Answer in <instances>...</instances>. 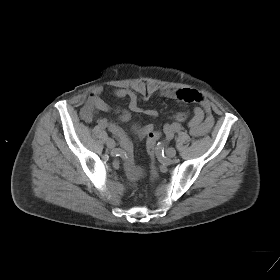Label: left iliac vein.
<instances>
[{
	"instance_id": "1",
	"label": "left iliac vein",
	"mask_w": 280,
	"mask_h": 280,
	"mask_svg": "<svg viewBox=\"0 0 280 280\" xmlns=\"http://www.w3.org/2000/svg\"><path fill=\"white\" fill-rule=\"evenodd\" d=\"M165 154L168 158H173L176 155V150L172 147L167 148Z\"/></svg>"
}]
</instances>
